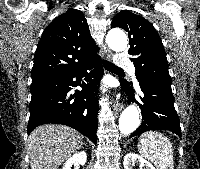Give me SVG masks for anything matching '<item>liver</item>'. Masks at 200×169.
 <instances>
[{"instance_id":"1","label":"liver","mask_w":200,"mask_h":169,"mask_svg":"<svg viewBox=\"0 0 200 169\" xmlns=\"http://www.w3.org/2000/svg\"><path fill=\"white\" fill-rule=\"evenodd\" d=\"M82 135L64 125L35 128L28 139L31 169H58L82 145Z\"/></svg>"}]
</instances>
